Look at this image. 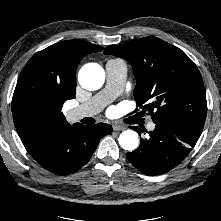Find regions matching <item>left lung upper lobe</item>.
Wrapping results in <instances>:
<instances>
[{
  "label": "left lung upper lobe",
  "instance_id": "5c2ea615",
  "mask_svg": "<svg viewBox=\"0 0 221 221\" xmlns=\"http://www.w3.org/2000/svg\"><path fill=\"white\" fill-rule=\"evenodd\" d=\"M104 54L131 63L137 80V107L148 110L154 123L203 128L207 114L204 84L196 65L182 50L159 38L145 37L110 45Z\"/></svg>",
  "mask_w": 221,
  "mask_h": 221
}]
</instances>
